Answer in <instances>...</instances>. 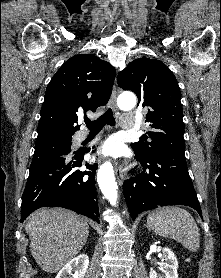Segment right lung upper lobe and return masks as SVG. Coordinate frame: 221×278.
<instances>
[{
	"instance_id": "obj_1",
	"label": "right lung upper lobe",
	"mask_w": 221,
	"mask_h": 278,
	"mask_svg": "<svg viewBox=\"0 0 221 278\" xmlns=\"http://www.w3.org/2000/svg\"><path fill=\"white\" fill-rule=\"evenodd\" d=\"M115 73L109 63L91 54L66 61L46 89L36 145L72 137L83 112H95L108 102Z\"/></svg>"
}]
</instances>
